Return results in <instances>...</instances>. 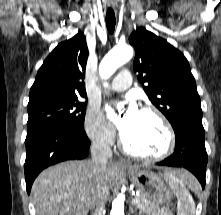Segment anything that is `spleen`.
<instances>
[{"label":"spleen","instance_id":"1","mask_svg":"<svg viewBox=\"0 0 221 215\" xmlns=\"http://www.w3.org/2000/svg\"><path fill=\"white\" fill-rule=\"evenodd\" d=\"M164 178L178 199V215H195V203L188 188L193 190L196 188V179L186 171L177 175L167 173Z\"/></svg>","mask_w":221,"mask_h":215}]
</instances>
